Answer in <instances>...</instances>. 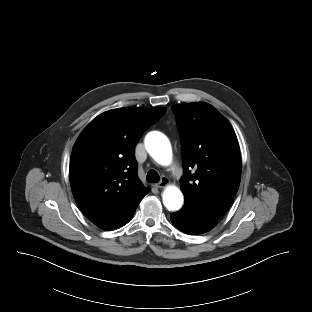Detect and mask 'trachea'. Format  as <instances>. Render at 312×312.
<instances>
[{"label": "trachea", "instance_id": "3493384b", "mask_svg": "<svg viewBox=\"0 0 312 312\" xmlns=\"http://www.w3.org/2000/svg\"><path fill=\"white\" fill-rule=\"evenodd\" d=\"M146 178L149 183H158L160 180L159 174L155 170H150Z\"/></svg>", "mask_w": 312, "mask_h": 312}]
</instances>
